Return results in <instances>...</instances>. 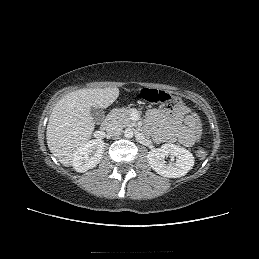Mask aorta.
Returning <instances> with one entry per match:
<instances>
[{"instance_id": "762f6f07", "label": "aorta", "mask_w": 259, "mask_h": 259, "mask_svg": "<svg viewBox=\"0 0 259 259\" xmlns=\"http://www.w3.org/2000/svg\"><path fill=\"white\" fill-rule=\"evenodd\" d=\"M133 135H134V132H133V130L131 129V128H127V129H125V131H124V136L126 137V138H132L133 137Z\"/></svg>"}]
</instances>
